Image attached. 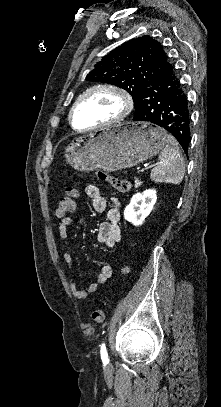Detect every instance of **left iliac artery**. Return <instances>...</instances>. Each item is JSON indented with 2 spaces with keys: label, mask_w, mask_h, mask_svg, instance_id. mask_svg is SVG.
<instances>
[{
  "label": "left iliac artery",
  "mask_w": 221,
  "mask_h": 407,
  "mask_svg": "<svg viewBox=\"0 0 221 407\" xmlns=\"http://www.w3.org/2000/svg\"><path fill=\"white\" fill-rule=\"evenodd\" d=\"M100 354L103 362H109L106 346L104 343L101 345Z\"/></svg>",
  "instance_id": "44dca946"
}]
</instances>
